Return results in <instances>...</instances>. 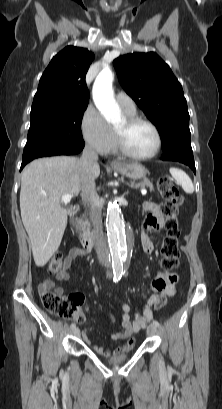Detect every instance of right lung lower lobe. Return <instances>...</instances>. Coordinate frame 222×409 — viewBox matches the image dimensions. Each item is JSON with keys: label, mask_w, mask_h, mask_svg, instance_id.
I'll return each instance as SVG.
<instances>
[{"label": "right lung lower lobe", "mask_w": 222, "mask_h": 409, "mask_svg": "<svg viewBox=\"0 0 222 409\" xmlns=\"http://www.w3.org/2000/svg\"><path fill=\"white\" fill-rule=\"evenodd\" d=\"M84 147V146H83ZM83 147H81V148H79L78 150H76L74 153H72V154H77V153H79L82 149H83ZM71 155V154H70ZM46 156H52V155H46ZM40 157H43V156H40ZM36 158H38V157H35V158H30V159H27V160H23L22 161V164H21V169L20 170H22V168L27 164V163H29L30 161H32L33 159H36Z\"/></svg>", "instance_id": "1"}]
</instances>
